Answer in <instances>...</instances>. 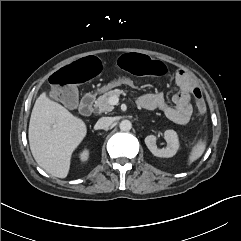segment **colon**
Here are the masks:
<instances>
[{"label":"colon","mask_w":241,"mask_h":241,"mask_svg":"<svg viewBox=\"0 0 241 241\" xmlns=\"http://www.w3.org/2000/svg\"><path fill=\"white\" fill-rule=\"evenodd\" d=\"M122 71L138 74L145 78L154 80L165 76L167 68L163 61L150 58L139 53H124L118 61ZM102 66L99 60L94 57H87L84 60H74L63 69H56L47 77L48 89H53V95L58 103L67 110L78 107L81 101L79 87L85 85L88 80L99 77ZM194 97L198 110L201 114L205 112V103L199 91H194Z\"/></svg>","instance_id":"5ec220e1"}]
</instances>
